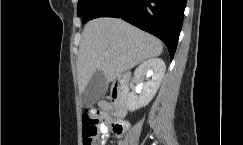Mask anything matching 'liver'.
Here are the masks:
<instances>
[{
	"label": "liver",
	"instance_id": "1",
	"mask_svg": "<svg viewBox=\"0 0 243 145\" xmlns=\"http://www.w3.org/2000/svg\"><path fill=\"white\" fill-rule=\"evenodd\" d=\"M162 51L159 39L121 19L103 17L89 21L77 56L79 93H83L96 71H102L107 82H111Z\"/></svg>",
	"mask_w": 243,
	"mask_h": 145
}]
</instances>
